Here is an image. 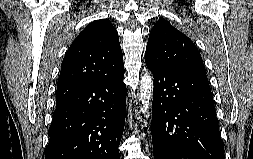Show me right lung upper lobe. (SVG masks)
<instances>
[{
  "label": "right lung upper lobe",
  "mask_w": 253,
  "mask_h": 159,
  "mask_svg": "<svg viewBox=\"0 0 253 159\" xmlns=\"http://www.w3.org/2000/svg\"><path fill=\"white\" fill-rule=\"evenodd\" d=\"M122 70L119 37L110 20L90 23L65 54L57 83L56 104Z\"/></svg>",
  "instance_id": "right-lung-upper-lobe-1"
}]
</instances>
